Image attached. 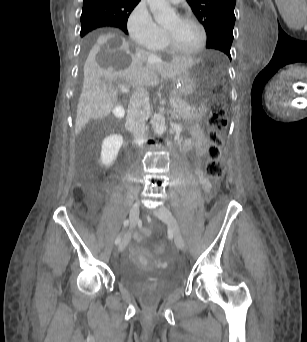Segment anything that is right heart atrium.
<instances>
[{"label": "right heart atrium", "mask_w": 307, "mask_h": 342, "mask_svg": "<svg viewBox=\"0 0 307 342\" xmlns=\"http://www.w3.org/2000/svg\"><path fill=\"white\" fill-rule=\"evenodd\" d=\"M130 40L142 47L159 45L163 36L155 25L149 10L138 5L128 16L126 22Z\"/></svg>", "instance_id": "1"}]
</instances>
